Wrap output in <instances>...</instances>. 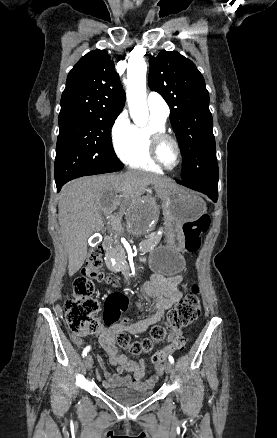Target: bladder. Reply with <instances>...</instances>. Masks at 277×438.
<instances>
[{"mask_svg": "<svg viewBox=\"0 0 277 438\" xmlns=\"http://www.w3.org/2000/svg\"><path fill=\"white\" fill-rule=\"evenodd\" d=\"M152 392L151 389L133 390L120 387L107 388L105 390L106 396L112 401L127 406L144 402Z\"/></svg>", "mask_w": 277, "mask_h": 438, "instance_id": "31cf9c89", "label": "bladder"}]
</instances>
